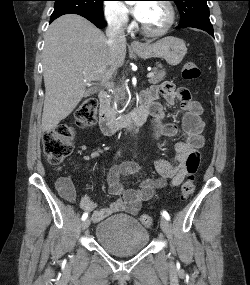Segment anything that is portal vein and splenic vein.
Here are the masks:
<instances>
[{
	"label": "portal vein and splenic vein",
	"mask_w": 250,
	"mask_h": 285,
	"mask_svg": "<svg viewBox=\"0 0 250 285\" xmlns=\"http://www.w3.org/2000/svg\"><path fill=\"white\" fill-rule=\"evenodd\" d=\"M153 75H154L153 72H149V73L147 74V78H151V77H153Z\"/></svg>",
	"instance_id": "1"
}]
</instances>
